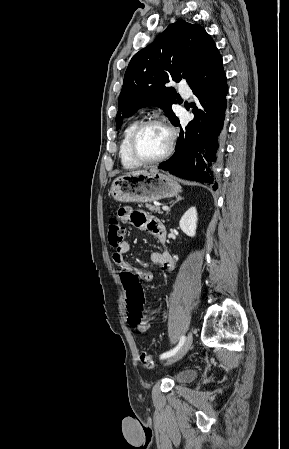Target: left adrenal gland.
I'll list each match as a JSON object with an SVG mask.
<instances>
[{
    "label": "left adrenal gland",
    "instance_id": "left-adrenal-gland-1",
    "mask_svg": "<svg viewBox=\"0 0 289 449\" xmlns=\"http://www.w3.org/2000/svg\"><path fill=\"white\" fill-rule=\"evenodd\" d=\"M180 200H183V198L180 197V196H178L177 199H176V201L173 202V204L170 206V208L173 207V205L176 204L177 202H179ZM170 208L167 210L166 213H168V212L170 211Z\"/></svg>",
    "mask_w": 289,
    "mask_h": 449
}]
</instances>
